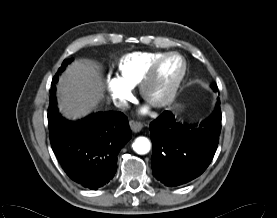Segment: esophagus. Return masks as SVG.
<instances>
[{
  "label": "esophagus",
  "instance_id": "obj_1",
  "mask_svg": "<svg viewBox=\"0 0 277 218\" xmlns=\"http://www.w3.org/2000/svg\"><path fill=\"white\" fill-rule=\"evenodd\" d=\"M129 125L131 130L135 133L141 131V129L143 128V124L141 122L134 121V120L130 121Z\"/></svg>",
  "mask_w": 277,
  "mask_h": 218
}]
</instances>
